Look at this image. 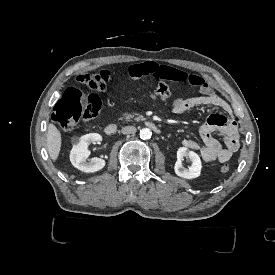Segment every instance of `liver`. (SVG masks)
Here are the masks:
<instances>
[{
    "label": "liver",
    "mask_w": 275,
    "mask_h": 275,
    "mask_svg": "<svg viewBox=\"0 0 275 275\" xmlns=\"http://www.w3.org/2000/svg\"><path fill=\"white\" fill-rule=\"evenodd\" d=\"M46 143L50 159L56 162L62 146V133L53 122L48 124Z\"/></svg>",
    "instance_id": "6515ba94"
}]
</instances>
